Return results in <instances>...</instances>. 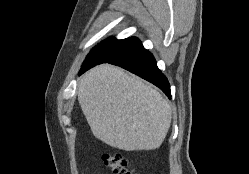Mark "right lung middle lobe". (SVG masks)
Here are the masks:
<instances>
[{"mask_svg": "<svg viewBox=\"0 0 249 174\" xmlns=\"http://www.w3.org/2000/svg\"><path fill=\"white\" fill-rule=\"evenodd\" d=\"M140 46H142V44L136 37H130L122 40L108 38L91 50L83 62L82 67L90 66L99 61H109L116 59Z\"/></svg>", "mask_w": 249, "mask_h": 174, "instance_id": "1", "label": "right lung middle lobe"}]
</instances>
